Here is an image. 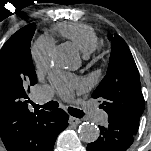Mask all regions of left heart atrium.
<instances>
[{"mask_svg":"<svg viewBox=\"0 0 151 151\" xmlns=\"http://www.w3.org/2000/svg\"><path fill=\"white\" fill-rule=\"evenodd\" d=\"M55 82L59 85L62 94L64 95L70 94L73 82H69L63 77L55 78Z\"/></svg>","mask_w":151,"mask_h":151,"instance_id":"left-heart-atrium-1","label":"left heart atrium"}]
</instances>
